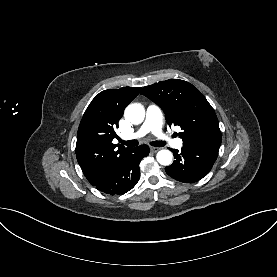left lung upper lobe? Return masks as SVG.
Masks as SVG:
<instances>
[{"label": "left lung upper lobe", "mask_w": 277, "mask_h": 277, "mask_svg": "<svg viewBox=\"0 0 277 277\" xmlns=\"http://www.w3.org/2000/svg\"><path fill=\"white\" fill-rule=\"evenodd\" d=\"M164 111L169 126L179 125L183 144L221 141L218 119L204 95L189 82L179 79L145 86L141 92Z\"/></svg>", "instance_id": "5c2ea615"}]
</instances>
